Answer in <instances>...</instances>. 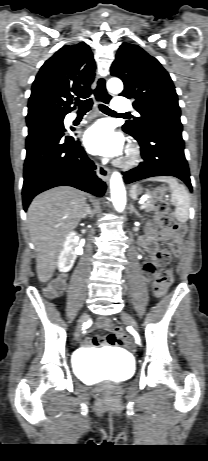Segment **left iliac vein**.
<instances>
[{
  "mask_svg": "<svg viewBox=\"0 0 208 461\" xmlns=\"http://www.w3.org/2000/svg\"><path fill=\"white\" fill-rule=\"evenodd\" d=\"M121 318L123 321L131 325L134 329L138 330V324L130 314H128L127 312H123L121 314Z\"/></svg>",
  "mask_w": 208,
  "mask_h": 461,
  "instance_id": "1",
  "label": "left iliac vein"
}]
</instances>
